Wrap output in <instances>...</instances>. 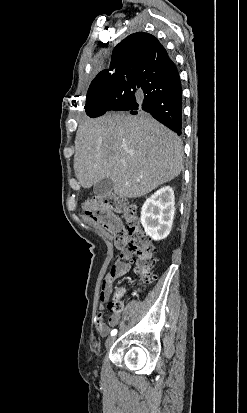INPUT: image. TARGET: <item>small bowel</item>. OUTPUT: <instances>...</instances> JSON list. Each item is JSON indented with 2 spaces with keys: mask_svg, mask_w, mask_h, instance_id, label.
I'll return each instance as SVG.
<instances>
[{
  "mask_svg": "<svg viewBox=\"0 0 247 413\" xmlns=\"http://www.w3.org/2000/svg\"><path fill=\"white\" fill-rule=\"evenodd\" d=\"M132 254L129 250H122L119 254L118 258L113 262L111 265L109 272L105 276L100 295H99V308L103 310L105 307L106 302L109 300L112 292H113V285L115 281L126 274H128L132 268ZM121 291H117L115 293L118 294ZM122 294V292H121ZM120 321V317L117 314H113L110 316L108 324L104 322L103 313L100 311L96 322L95 328L97 333L101 337H106L110 333V327H114L118 325Z\"/></svg>",
  "mask_w": 247,
  "mask_h": 413,
  "instance_id": "obj_1",
  "label": "small bowel"
}]
</instances>
